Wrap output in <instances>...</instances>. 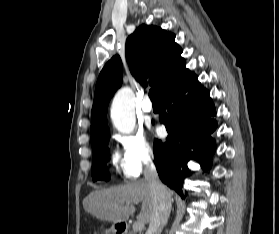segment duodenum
Returning a JSON list of instances; mask_svg holds the SVG:
<instances>
[{"mask_svg":"<svg viewBox=\"0 0 279 234\" xmlns=\"http://www.w3.org/2000/svg\"><path fill=\"white\" fill-rule=\"evenodd\" d=\"M126 230V227L124 226V225H122L121 227H120V232H124ZM121 234H123V233H121Z\"/></svg>","mask_w":279,"mask_h":234,"instance_id":"410a0bca","label":"duodenum"}]
</instances>
